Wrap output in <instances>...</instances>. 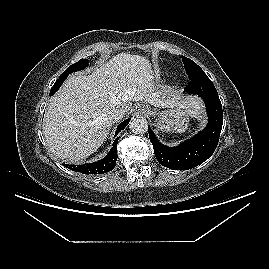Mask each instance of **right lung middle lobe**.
Here are the masks:
<instances>
[{
	"label": "right lung middle lobe",
	"instance_id": "dd1d6c3e",
	"mask_svg": "<svg viewBox=\"0 0 269 269\" xmlns=\"http://www.w3.org/2000/svg\"><path fill=\"white\" fill-rule=\"evenodd\" d=\"M88 66V60L87 59H81L79 62L69 66L61 75H68L70 73L80 71L85 69ZM60 75V76H61Z\"/></svg>",
	"mask_w": 269,
	"mask_h": 269
}]
</instances>
